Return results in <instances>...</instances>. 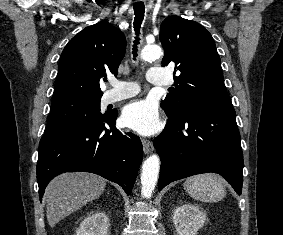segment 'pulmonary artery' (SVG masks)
<instances>
[{"instance_id": "1", "label": "pulmonary artery", "mask_w": 283, "mask_h": 235, "mask_svg": "<svg viewBox=\"0 0 283 235\" xmlns=\"http://www.w3.org/2000/svg\"><path fill=\"white\" fill-rule=\"evenodd\" d=\"M147 80L151 84L158 86H165L168 84V80L165 76V73L156 68H151L148 70ZM110 84L112 87H114V89L105 92L102 98L104 104L114 103L127 98L134 97L140 91V87L138 86V84L132 81H122L113 79Z\"/></svg>"}]
</instances>
